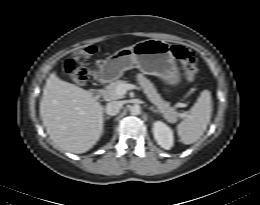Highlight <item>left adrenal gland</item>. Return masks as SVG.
I'll list each match as a JSON object with an SVG mask.
<instances>
[{"label": "left adrenal gland", "instance_id": "obj_1", "mask_svg": "<svg viewBox=\"0 0 260 205\" xmlns=\"http://www.w3.org/2000/svg\"><path fill=\"white\" fill-rule=\"evenodd\" d=\"M148 109L154 113H157L158 111L156 109H154L152 106L151 107H148Z\"/></svg>", "mask_w": 260, "mask_h": 205}]
</instances>
